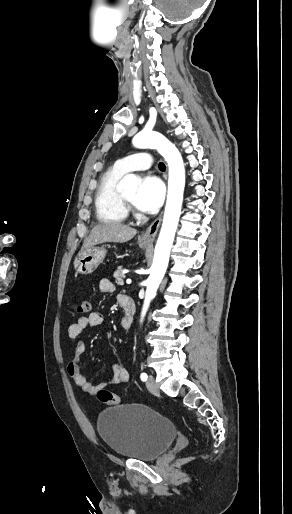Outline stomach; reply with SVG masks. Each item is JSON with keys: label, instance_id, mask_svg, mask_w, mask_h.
Wrapping results in <instances>:
<instances>
[{"label": "stomach", "instance_id": "0dacf381", "mask_svg": "<svg viewBox=\"0 0 292 514\" xmlns=\"http://www.w3.org/2000/svg\"><path fill=\"white\" fill-rule=\"evenodd\" d=\"M141 248L150 246L152 242H139ZM107 250L104 248H84L74 260V268L78 274H92L103 262Z\"/></svg>", "mask_w": 292, "mask_h": 514}]
</instances>
